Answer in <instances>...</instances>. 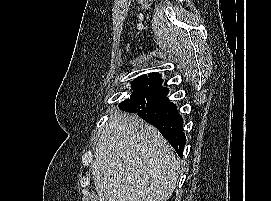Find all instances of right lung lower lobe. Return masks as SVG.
Segmentation results:
<instances>
[{
	"instance_id": "obj_1",
	"label": "right lung lower lobe",
	"mask_w": 271,
	"mask_h": 201,
	"mask_svg": "<svg viewBox=\"0 0 271 201\" xmlns=\"http://www.w3.org/2000/svg\"><path fill=\"white\" fill-rule=\"evenodd\" d=\"M159 74L153 73L152 80L142 94L130 96L121 102L119 108L135 113L148 123L155 126L165 139L182 157L186 137L183 132V118L178 113L176 105L166 98L168 89L162 87Z\"/></svg>"
}]
</instances>
